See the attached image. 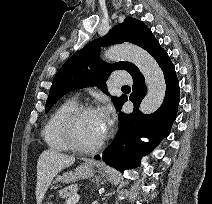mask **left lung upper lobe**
Here are the masks:
<instances>
[{
    "instance_id": "left-lung-upper-lobe-1",
    "label": "left lung upper lobe",
    "mask_w": 212,
    "mask_h": 204,
    "mask_svg": "<svg viewBox=\"0 0 212 204\" xmlns=\"http://www.w3.org/2000/svg\"><path fill=\"white\" fill-rule=\"evenodd\" d=\"M123 42L136 44L152 56L162 50L151 30L142 21L132 17L126 18L122 24L115 26L104 37L91 41L65 62L53 79L46 101L45 112H48L58 99L71 90L98 86L107 92L105 81L114 70H126L131 76L138 73L139 69L130 62L107 64L99 58L102 46ZM124 98L125 96L120 98L112 97L116 108Z\"/></svg>"
}]
</instances>
